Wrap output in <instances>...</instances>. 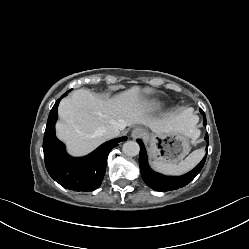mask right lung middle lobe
I'll use <instances>...</instances> for the list:
<instances>
[{
	"label": "right lung middle lobe",
	"mask_w": 249,
	"mask_h": 249,
	"mask_svg": "<svg viewBox=\"0 0 249 249\" xmlns=\"http://www.w3.org/2000/svg\"><path fill=\"white\" fill-rule=\"evenodd\" d=\"M71 90H69V91H67L66 93H65V95H67L68 94V92H70Z\"/></svg>",
	"instance_id": "right-lung-middle-lobe-1"
}]
</instances>
